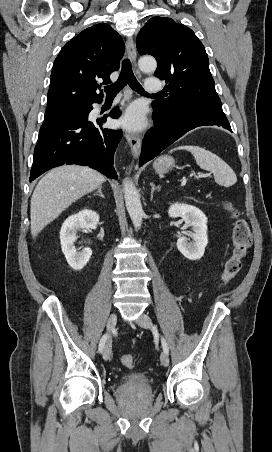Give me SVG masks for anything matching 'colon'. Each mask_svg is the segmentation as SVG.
<instances>
[{
  "label": "colon",
  "instance_id": "1",
  "mask_svg": "<svg viewBox=\"0 0 272 452\" xmlns=\"http://www.w3.org/2000/svg\"><path fill=\"white\" fill-rule=\"evenodd\" d=\"M225 207L230 212L235 222L232 231L233 249L231 256L225 263L221 275V286H226L239 273L242 262L251 245V234L246 219L243 218L230 203H226ZM120 362L123 366L132 368L135 365V356L132 354H124L120 357Z\"/></svg>",
  "mask_w": 272,
  "mask_h": 452
}]
</instances>
